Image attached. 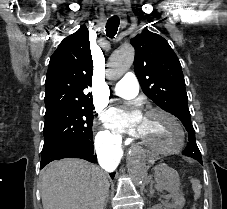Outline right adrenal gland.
<instances>
[{
	"instance_id": "2a0ac1e0",
	"label": "right adrenal gland",
	"mask_w": 227,
	"mask_h": 209,
	"mask_svg": "<svg viewBox=\"0 0 227 209\" xmlns=\"http://www.w3.org/2000/svg\"><path fill=\"white\" fill-rule=\"evenodd\" d=\"M108 197H109V195H107V197H106V201H105V203H104V209H106V207H107V203H109V199H108Z\"/></svg>"
}]
</instances>
